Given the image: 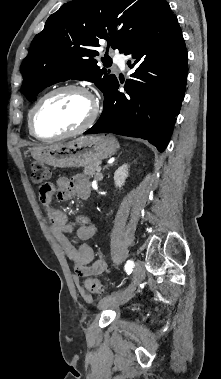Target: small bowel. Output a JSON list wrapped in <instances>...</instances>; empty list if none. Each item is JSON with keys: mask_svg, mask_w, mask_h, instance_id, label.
Listing matches in <instances>:
<instances>
[{"mask_svg": "<svg viewBox=\"0 0 221 379\" xmlns=\"http://www.w3.org/2000/svg\"><path fill=\"white\" fill-rule=\"evenodd\" d=\"M56 186L57 197L61 201L70 200L74 197L86 199L90 194V184L81 177L74 180L60 177L56 181ZM54 190V187L51 186V190L45 196H40V201L46 208L51 222L50 231L73 264V280L78 287L79 293L85 300L91 301V296L79 285L80 277L100 275L111 270L103 256L94 259L95 254L91 246L85 243L76 246L71 241L69 238L70 233L75 231L77 237L85 241L95 235L96 228L88 217L79 216L76 219V224L69 219L67 214L54 208L51 204Z\"/></svg>", "mask_w": 221, "mask_h": 379, "instance_id": "obj_1", "label": "small bowel"}]
</instances>
